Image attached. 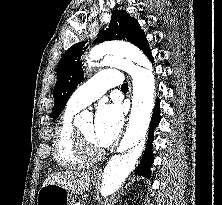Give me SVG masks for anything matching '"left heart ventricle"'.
<instances>
[{"label":"left heart ventricle","mask_w":222,"mask_h":205,"mask_svg":"<svg viewBox=\"0 0 222 205\" xmlns=\"http://www.w3.org/2000/svg\"><path fill=\"white\" fill-rule=\"evenodd\" d=\"M93 128H94V123L92 121L84 122L79 127L82 135L89 142V144L95 148H100V146H98L97 143L95 142L94 135H93Z\"/></svg>","instance_id":"b2bd125f"}]
</instances>
